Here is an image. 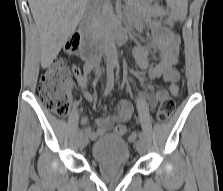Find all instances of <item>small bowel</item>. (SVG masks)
<instances>
[{
  "mask_svg": "<svg viewBox=\"0 0 223 191\" xmlns=\"http://www.w3.org/2000/svg\"><path fill=\"white\" fill-rule=\"evenodd\" d=\"M161 13V9L158 6H153L149 13V18L146 20V24L150 28V40L146 45H140L135 48L134 55L138 66L141 69H146L148 67V54L149 48L154 47L157 49L160 60L159 62L149 70V77L151 80L163 79L167 85L168 89H157L151 85L147 84L149 90L152 91L153 96L149 99V106L154 107L158 101L164 98L168 93L177 95L179 88L177 82L179 81L180 75L175 68L178 63V55L180 48V37L173 31L164 28L157 16ZM98 63V58L95 63L91 64L89 62L85 63L80 75L78 76V85L82 89L84 96L90 102L93 101V96L87 91L88 78L89 75L94 71ZM133 116L132 105L122 99L117 104V114L116 115H103L101 114L97 120V128L91 129L86 126L89 123V119L86 117L81 118L80 123L84 125L83 131L86 133L89 139L96 140L97 138L108 133L115 123L125 124Z\"/></svg>",
  "mask_w": 223,
  "mask_h": 191,
  "instance_id": "obj_1",
  "label": "small bowel"
}]
</instances>
